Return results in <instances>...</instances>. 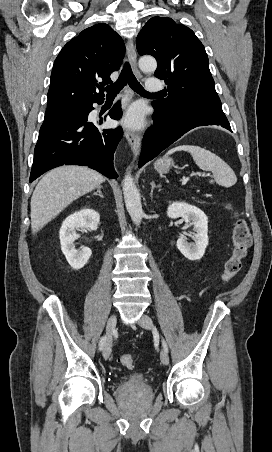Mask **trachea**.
<instances>
[{
	"label": "trachea",
	"instance_id": "1",
	"mask_svg": "<svg viewBox=\"0 0 272 452\" xmlns=\"http://www.w3.org/2000/svg\"><path fill=\"white\" fill-rule=\"evenodd\" d=\"M127 83L135 92H137L140 95L160 94V93L147 92L142 87V85L137 81L136 77L134 76V74L132 72V69H131L129 63L126 62L117 81L115 83L107 86V97L116 96Z\"/></svg>",
	"mask_w": 272,
	"mask_h": 452
}]
</instances>
